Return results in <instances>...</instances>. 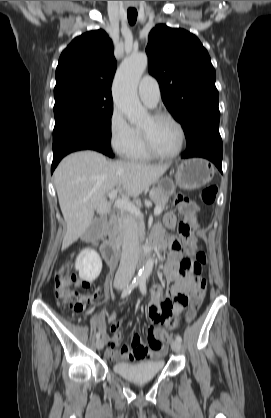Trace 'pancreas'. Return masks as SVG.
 <instances>
[{
  "instance_id": "pancreas-1",
  "label": "pancreas",
  "mask_w": 271,
  "mask_h": 418,
  "mask_svg": "<svg viewBox=\"0 0 271 418\" xmlns=\"http://www.w3.org/2000/svg\"><path fill=\"white\" fill-rule=\"evenodd\" d=\"M150 199L155 203L156 206H160L162 210L165 208L169 196L160 188H153L150 191ZM134 224L137 227V231L141 237L144 236L145 233V226L142 221L134 220ZM118 236L122 237L124 234L123 224L120 221L117 227Z\"/></svg>"
}]
</instances>
